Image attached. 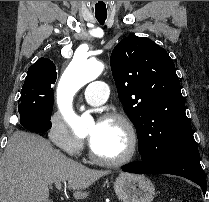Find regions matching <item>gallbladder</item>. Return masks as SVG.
<instances>
[{"label": "gallbladder", "instance_id": "1", "mask_svg": "<svg viewBox=\"0 0 209 202\" xmlns=\"http://www.w3.org/2000/svg\"><path fill=\"white\" fill-rule=\"evenodd\" d=\"M44 202H51V201L47 199V200H45Z\"/></svg>", "mask_w": 209, "mask_h": 202}]
</instances>
